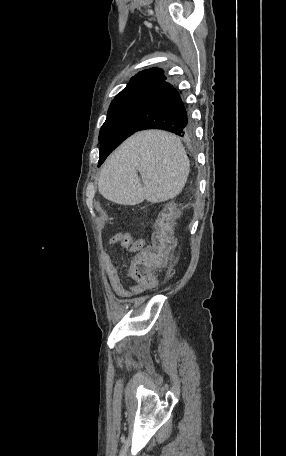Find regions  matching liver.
I'll use <instances>...</instances> for the list:
<instances>
[{
    "label": "liver",
    "instance_id": "6515ba94",
    "mask_svg": "<svg viewBox=\"0 0 286 456\" xmlns=\"http://www.w3.org/2000/svg\"><path fill=\"white\" fill-rule=\"evenodd\" d=\"M189 168V159L177 136L162 130L141 131L108 158L100 173L98 191L120 205H136L144 200L164 202L180 194Z\"/></svg>",
    "mask_w": 286,
    "mask_h": 456
}]
</instances>
